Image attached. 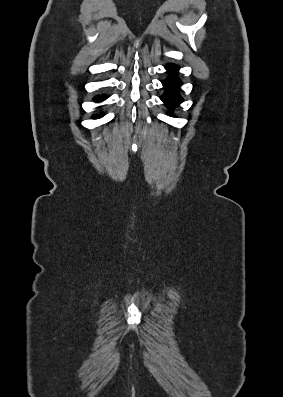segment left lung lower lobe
<instances>
[{"mask_svg": "<svg viewBox=\"0 0 283 397\" xmlns=\"http://www.w3.org/2000/svg\"><path fill=\"white\" fill-rule=\"evenodd\" d=\"M165 68L171 75L167 80L162 82L165 92L160 98L167 105L170 112H172L176 106L183 102V98L177 92V89L181 85L180 79L176 77L179 66L169 64Z\"/></svg>", "mask_w": 283, "mask_h": 397, "instance_id": "1", "label": "left lung lower lobe"}]
</instances>
